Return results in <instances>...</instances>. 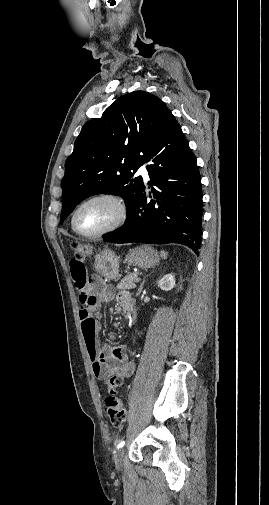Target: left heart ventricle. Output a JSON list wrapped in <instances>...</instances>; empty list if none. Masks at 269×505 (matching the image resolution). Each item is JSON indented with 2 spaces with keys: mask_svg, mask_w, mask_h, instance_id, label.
Returning a JSON list of instances; mask_svg holds the SVG:
<instances>
[{
  "mask_svg": "<svg viewBox=\"0 0 269 505\" xmlns=\"http://www.w3.org/2000/svg\"><path fill=\"white\" fill-rule=\"evenodd\" d=\"M118 216L117 206L105 199L84 205L77 214L76 224L86 233L98 232L111 225Z\"/></svg>",
  "mask_w": 269,
  "mask_h": 505,
  "instance_id": "obj_1",
  "label": "left heart ventricle"
}]
</instances>
